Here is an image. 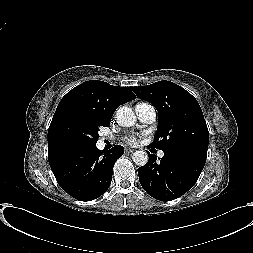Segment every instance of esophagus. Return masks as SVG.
Masks as SVG:
<instances>
[{"label": "esophagus", "instance_id": "obj_1", "mask_svg": "<svg viewBox=\"0 0 253 253\" xmlns=\"http://www.w3.org/2000/svg\"><path fill=\"white\" fill-rule=\"evenodd\" d=\"M135 151V149H132V148H127L126 149V152H128V153H133Z\"/></svg>", "mask_w": 253, "mask_h": 253}]
</instances>
